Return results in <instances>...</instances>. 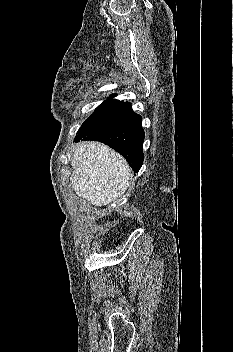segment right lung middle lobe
Returning a JSON list of instances; mask_svg holds the SVG:
<instances>
[{
    "label": "right lung middle lobe",
    "mask_w": 233,
    "mask_h": 352,
    "mask_svg": "<svg viewBox=\"0 0 233 352\" xmlns=\"http://www.w3.org/2000/svg\"><path fill=\"white\" fill-rule=\"evenodd\" d=\"M113 96H116V95L115 94L112 95L108 100L104 101L101 105H99L94 111V113L87 120L84 121L80 129L85 127L87 124L91 123L93 120H95L97 117L102 115L104 112L118 105L120 102L115 99H112Z\"/></svg>",
    "instance_id": "right-lung-middle-lobe-1"
}]
</instances>
